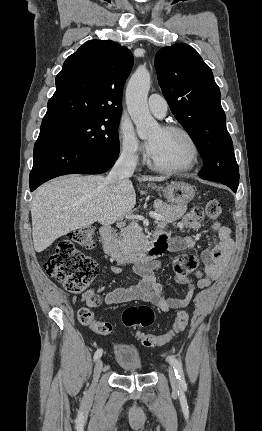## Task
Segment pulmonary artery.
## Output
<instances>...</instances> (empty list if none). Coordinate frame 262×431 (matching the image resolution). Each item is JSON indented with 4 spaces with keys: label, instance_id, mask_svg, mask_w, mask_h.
Returning a JSON list of instances; mask_svg holds the SVG:
<instances>
[{
    "label": "pulmonary artery",
    "instance_id": "pulmonary-artery-1",
    "mask_svg": "<svg viewBox=\"0 0 262 431\" xmlns=\"http://www.w3.org/2000/svg\"><path fill=\"white\" fill-rule=\"evenodd\" d=\"M148 106L151 112L159 118L164 117L167 113V102L159 94H151L149 96Z\"/></svg>",
    "mask_w": 262,
    "mask_h": 431
}]
</instances>
